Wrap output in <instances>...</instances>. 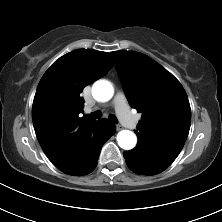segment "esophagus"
<instances>
[{
  "label": "esophagus",
  "mask_w": 222,
  "mask_h": 222,
  "mask_svg": "<svg viewBox=\"0 0 222 222\" xmlns=\"http://www.w3.org/2000/svg\"><path fill=\"white\" fill-rule=\"evenodd\" d=\"M115 126H116V130H117V131L122 130V126H121L120 124H116Z\"/></svg>",
  "instance_id": "1"
}]
</instances>
